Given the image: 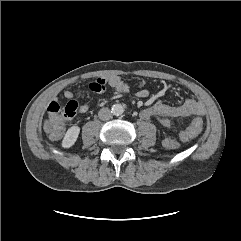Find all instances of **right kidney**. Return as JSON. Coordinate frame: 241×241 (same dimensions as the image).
Instances as JSON below:
<instances>
[{
    "label": "right kidney",
    "mask_w": 241,
    "mask_h": 241,
    "mask_svg": "<svg viewBox=\"0 0 241 241\" xmlns=\"http://www.w3.org/2000/svg\"><path fill=\"white\" fill-rule=\"evenodd\" d=\"M79 133L80 128L78 126L70 127L63 138L62 146L64 148H70L71 146H73L77 141Z\"/></svg>",
    "instance_id": "ca27d5eb"
}]
</instances>
